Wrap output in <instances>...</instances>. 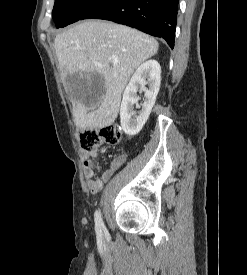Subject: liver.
Segmentation results:
<instances>
[{
	"instance_id": "obj_1",
	"label": "liver",
	"mask_w": 247,
	"mask_h": 275,
	"mask_svg": "<svg viewBox=\"0 0 247 275\" xmlns=\"http://www.w3.org/2000/svg\"><path fill=\"white\" fill-rule=\"evenodd\" d=\"M54 45L72 100L74 123L81 130L107 127L115 121L130 76L159 46L145 33L102 20L84 21L58 34ZM75 73L99 74L104 93H95L84 102L66 85L67 76Z\"/></svg>"
}]
</instances>
